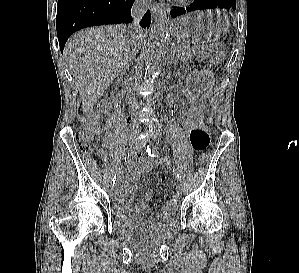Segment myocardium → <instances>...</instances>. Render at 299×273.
Listing matches in <instances>:
<instances>
[{"label":"myocardium","instance_id":"myocardium-1","mask_svg":"<svg viewBox=\"0 0 299 273\" xmlns=\"http://www.w3.org/2000/svg\"><path fill=\"white\" fill-rule=\"evenodd\" d=\"M179 5L181 6H185L188 5L190 2H192L193 0H175Z\"/></svg>","mask_w":299,"mask_h":273}]
</instances>
